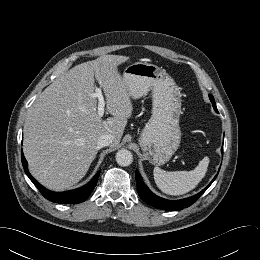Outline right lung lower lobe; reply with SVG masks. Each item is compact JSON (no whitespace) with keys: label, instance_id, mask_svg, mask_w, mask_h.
<instances>
[{"label":"right lung lower lobe","instance_id":"obj_1","mask_svg":"<svg viewBox=\"0 0 260 260\" xmlns=\"http://www.w3.org/2000/svg\"><path fill=\"white\" fill-rule=\"evenodd\" d=\"M22 157V164L25 170V173L29 177V179L34 183V185L39 189V191L42 193V195L48 199L49 201L55 202V203H65V204H78L81 202H84L88 196L93 191L94 187L96 186V183L98 181V177L100 175V171L93 177V179L84 187L67 191V192H52L41 186L29 173L27 168V161L23 155Z\"/></svg>","mask_w":260,"mask_h":260}]
</instances>
